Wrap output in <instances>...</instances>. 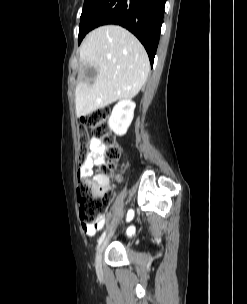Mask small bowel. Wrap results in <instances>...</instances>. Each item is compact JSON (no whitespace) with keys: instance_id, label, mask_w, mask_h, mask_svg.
I'll return each mask as SVG.
<instances>
[{"instance_id":"small-bowel-1","label":"small bowel","mask_w":247,"mask_h":304,"mask_svg":"<svg viewBox=\"0 0 247 304\" xmlns=\"http://www.w3.org/2000/svg\"><path fill=\"white\" fill-rule=\"evenodd\" d=\"M90 152L87 159L82 163L78 170V177L81 178H89L93 176V169L96 166H102L105 164V152L106 146L102 144L99 139L93 138L90 141ZM105 218L100 217L94 224L92 225H84L82 224L84 232L92 237L95 233L101 230L104 226Z\"/></svg>"}]
</instances>
